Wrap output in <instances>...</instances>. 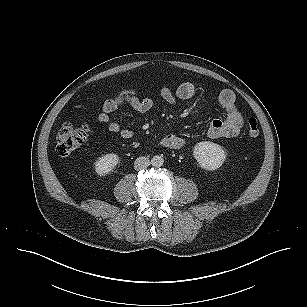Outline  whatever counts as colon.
I'll use <instances>...</instances> for the list:
<instances>
[{"label": "colon", "mask_w": 307, "mask_h": 307, "mask_svg": "<svg viewBox=\"0 0 307 307\" xmlns=\"http://www.w3.org/2000/svg\"><path fill=\"white\" fill-rule=\"evenodd\" d=\"M246 129L250 137L256 138L259 136V123L254 116H249L246 119ZM89 127L86 124L74 125L65 123L60 128L57 135V152L61 156H67L77 148H79L88 137Z\"/></svg>", "instance_id": "1"}]
</instances>
